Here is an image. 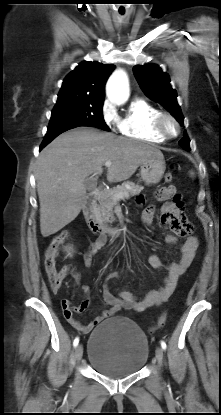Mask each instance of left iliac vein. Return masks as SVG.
<instances>
[{
  "label": "left iliac vein",
  "mask_w": 221,
  "mask_h": 415,
  "mask_svg": "<svg viewBox=\"0 0 221 415\" xmlns=\"http://www.w3.org/2000/svg\"><path fill=\"white\" fill-rule=\"evenodd\" d=\"M156 359L159 366H161L163 361V349L161 347L156 348Z\"/></svg>",
  "instance_id": "obj_1"
}]
</instances>
